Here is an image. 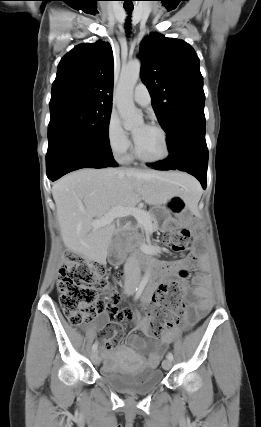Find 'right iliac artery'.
Segmentation results:
<instances>
[{"mask_svg":"<svg viewBox=\"0 0 261 427\" xmlns=\"http://www.w3.org/2000/svg\"><path fill=\"white\" fill-rule=\"evenodd\" d=\"M146 284H147V282H146L145 280H142V281L140 282V284H139L138 288L136 289V294H135V296H134V300H137V299L141 296V294H142V292H143V290H144V288H145ZM97 348H98V344H97V342H95V343L93 344V346H92V350H93V351H96V350H97Z\"/></svg>","mask_w":261,"mask_h":427,"instance_id":"right-iliac-artery-1","label":"right iliac artery"}]
</instances>
